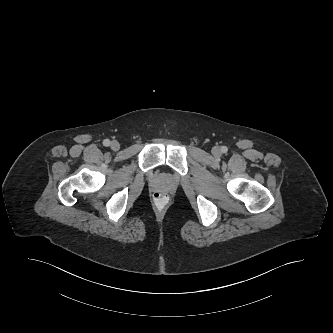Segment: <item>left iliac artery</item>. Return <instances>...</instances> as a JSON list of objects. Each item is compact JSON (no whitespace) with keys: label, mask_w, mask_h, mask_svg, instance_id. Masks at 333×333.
I'll return each mask as SVG.
<instances>
[{"label":"left iliac artery","mask_w":333,"mask_h":333,"mask_svg":"<svg viewBox=\"0 0 333 333\" xmlns=\"http://www.w3.org/2000/svg\"><path fill=\"white\" fill-rule=\"evenodd\" d=\"M221 151L223 153H226L228 151V148L226 146H222Z\"/></svg>","instance_id":"1"}]
</instances>
